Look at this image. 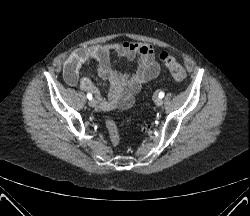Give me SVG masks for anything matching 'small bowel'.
Listing matches in <instances>:
<instances>
[{"label": "small bowel", "instance_id": "1", "mask_svg": "<svg viewBox=\"0 0 250 216\" xmlns=\"http://www.w3.org/2000/svg\"><path fill=\"white\" fill-rule=\"evenodd\" d=\"M112 53L128 61L137 59L136 70L132 74L114 70L110 63ZM90 60L97 62L98 75L110 83L107 98L100 96L98 89L88 77H81L79 74L82 66ZM159 72L160 66L156 62L152 46L142 42L110 43L79 49L66 59L63 67L65 82L93 93L99 109L103 111L130 107L134 95L140 91L143 84L155 78Z\"/></svg>", "mask_w": 250, "mask_h": 216}]
</instances>
